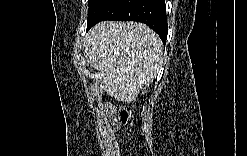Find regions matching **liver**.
Segmentation results:
<instances>
[{"instance_id":"1","label":"liver","mask_w":247,"mask_h":156,"mask_svg":"<svg viewBox=\"0 0 247 156\" xmlns=\"http://www.w3.org/2000/svg\"><path fill=\"white\" fill-rule=\"evenodd\" d=\"M87 64L103 73L99 89L118 101L133 102L163 65V44L148 26L105 21L86 35Z\"/></svg>"}]
</instances>
